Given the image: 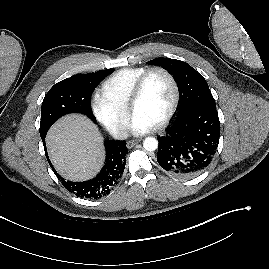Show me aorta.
Returning a JSON list of instances; mask_svg holds the SVG:
<instances>
[{"instance_id": "1", "label": "aorta", "mask_w": 269, "mask_h": 269, "mask_svg": "<svg viewBox=\"0 0 269 269\" xmlns=\"http://www.w3.org/2000/svg\"><path fill=\"white\" fill-rule=\"evenodd\" d=\"M143 147L147 151H155L158 148V141L154 137H147L143 141Z\"/></svg>"}]
</instances>
